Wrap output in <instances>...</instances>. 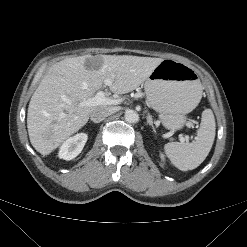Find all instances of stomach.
Instances as JSON below:
<instances>
[{
  "label": "stomach",
  "mask_w": 247,
  "mask_h": 247,
  "mask_svg": "<svg viewBox=\"0 0 247 247\" xmlns=\"http://www.w3.org/2000/svg\"><path fill=\"white\" fill-rule=\"evenodd\" d=\"M149 105L159 113L162 125L171 131L183 128L187 114L202 97V84L195 70L181 62L163 59L144 84Z\"/></svg>",
  "instance_id": "0dacf381"
}]
</instances>
